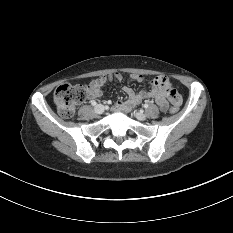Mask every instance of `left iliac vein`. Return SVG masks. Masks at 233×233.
<instances>
[{
	"label": "left iliac vein",
	"mask_w": 233,
	"mask_h": 233,
	"mask_svg": "<svg viewBox=\"0 0 233 233\" xmlns=\"http://www.w3.org/2000/svg\"><path fill=\"white\" fill-rule=\"evenodd\" d=\"M138 120L144 121L147 119V116L143 112H136L135 114Z\"/></svg>",
	"instance_id": "left-iliac-vein-1"
}]
</instances>
